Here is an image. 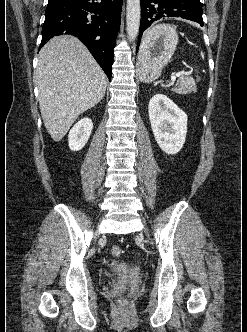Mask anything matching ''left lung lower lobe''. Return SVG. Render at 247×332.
<instances>
[{"label":"left lung lower lobe","instance_id":"0a47b994","mask_svg":"<svg viewBox=\"0 0 247 332\" xmlns=\"http://www.w3.org/2000/svg\"><path fill=\"white\" fill-rule=\"evenodd\" d=\"M141 23L138 43L143 32L156 20L164 17H181L204 25L200 0H140ZM137 45L136 51H138Z\"/></svg>","mask_w":247,"mask_h":332}]
</instances>
